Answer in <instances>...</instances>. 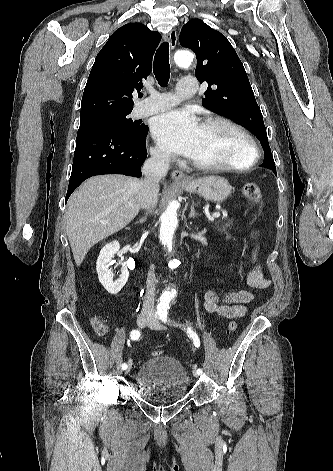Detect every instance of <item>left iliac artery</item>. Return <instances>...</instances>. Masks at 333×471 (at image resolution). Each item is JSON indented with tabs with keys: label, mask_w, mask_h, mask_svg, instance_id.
Masks as SVG:
<instances>
[{
	"label": "left iliac artery",
	"mask_w": 333,
	"mask_h": 471,
	"mask_svg": "<svg viewBox=\"0 0 333 471\" xmlns=\"http://www.w3.org/2000/svg\"><path fill=\"white\" fill-rule=\"evenodd\" d=\"M159 316H160V319L164 323L168 322V313H167V311L160 312ZM183 328H184V330L187 331L188 335L193 339L194 345L198 348L200 346V340L198 338V335L193 331V329L191 327H188V328L183 327ZM196 372H197V374L201 375L203 371H202V369L198 368L196 370Z\"/></svg>",
	"instance_id": "obj_1"
}]
</instances>
